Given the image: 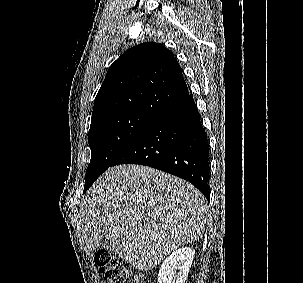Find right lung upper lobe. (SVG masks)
Returning a JSON list of instances; mask_svg holds the SVG:
<instances>
[{
    "label": "right lung upper lobe",
    "instance_id": "right-lung-upper-lobe-1",
    "mask_svg": "<svg viewBox=\"0 0 303 283\" xmlns=\"http://www.w3.org/2000/svg\"><path fill=\"white\" fill-rule=\"evenodd\" d=\"M187 95L174 54L159 43L139 44L125 51L108 69L94 101L91 125L126 112L157 115Z\"/></svg>",
    "mask_w": 303,
    "mask_h": 283
}]
</instances>
